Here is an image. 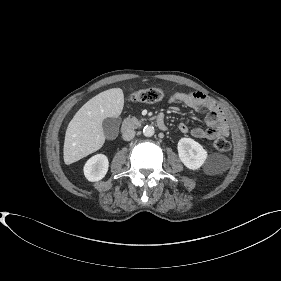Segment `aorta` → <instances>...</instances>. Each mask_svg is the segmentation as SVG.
Wrapping results in <instances>:
<instances>
[{
	"mask_svg": "<svg viewBox=\"0 0 281 281\" xmlns=\"http://www.w3.org/2000/svg\"><path fill=\"white\" fill-rule=\"evenodd\" d=\"M155 133V130H154V127L151 126V125H146L144 128H143V134L146 136V137H151L153 136Z\"/></svg>",
	"mask_w": 281,
	"mask_h": 281,
	"instance_id": "762f6f07",
	"label": "aorta"
}]
</instances>
